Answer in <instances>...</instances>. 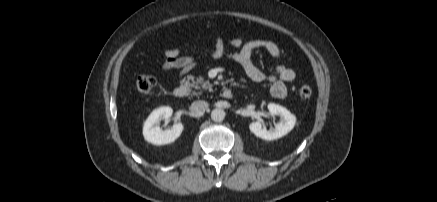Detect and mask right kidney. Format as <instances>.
Segmentation results:
<instances>
[{
  "mask_svg": "<svg viewBox=\"0 0 437 202\" xmlns=\"http://www.w3.org/2000/svg\"><path fill=\"white\" fill-rule=\"evenodd\" d=\"M172 113V108L160 107L149 115L143 126L146 141L154 145H165L174 142L181 135L184 127L180 122L167 130H162L158 125L161 120H168Z\"/></svg>",
  "mask_w": 437,
  "mask_h": 202,
  "instance_id": "1",
  "label": "right kidney"
}]
</instances>
